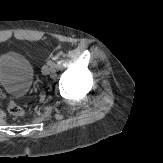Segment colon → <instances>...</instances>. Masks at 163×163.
<instances>
[{
  "label": "colon",
  "mask_w": 163,
  "mask_h": 163,
  "mask_svg": "<svg viewBox=\"0 0 163 163\" xmlns=\"http://www.w3.org/2000/svg\"><path fill=\"white\" fill-rule=\"evenodd\" d=\"M8 112L16 117H22L25 115V110L18 104L10 102L8 105Z\"/></svg>",
  "instance_id": "1"
}]
</instances>
